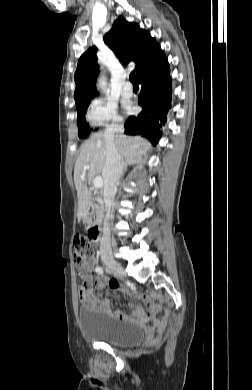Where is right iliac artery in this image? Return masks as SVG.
<instances>
[{
  "label": "right iliac artery",
  "instance_id": "1",
  "mask_svg": "<svg viewBox=\"0 0 252 390\" xmlns=\"http://www.w3.org/2000/svg\"><path fill=\"white\" fill-rule=\"evenodd\" d=\"M95 271L98 273V274H102L103 273V269L101 267H96Z\"/></svg>",
  "mask_w": 252,
  "mask_h": 390
}]
</instances>
